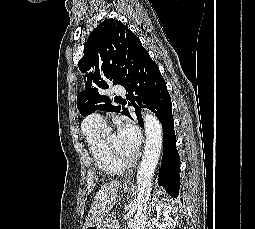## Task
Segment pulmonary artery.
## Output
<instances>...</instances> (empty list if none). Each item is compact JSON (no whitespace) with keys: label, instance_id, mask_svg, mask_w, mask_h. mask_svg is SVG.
I'll use <instances>...</instances> for the list:
<instances>
[{"label":"pulmonary artery","instance_id":"pulmonary-artery-1","mask_svg":"<svg viewBox=\"0 0 255 229\" xmlns=\"http://www.w3.org/2000/svg\"><path fill=\"white\" fill-rule=\"evenodd\" d=\"M125 89L122 86L115 85L113 87L114 94H124ZM86 126L87 127H104L105 123L100 115L98 114H91L86 119Z\"/></svg>","mask_w":255,"mask_h":229}]
</instances>
